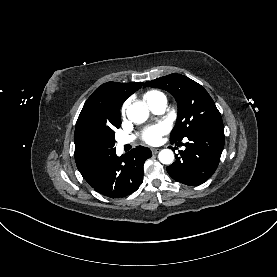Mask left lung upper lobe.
<instances>
[{
  "label": "left lung upper lobe",
  "mask_w": 277,
  "mask_h": 277,
  "mask_svg": "<svg viewBox=\"0 0 277 277\" xmlns=\"http://www.w3.org/2000/svg\"><path fill=\"white\" fill-rule=\"evenodd\" d=\"M170 92L178 104V117L171 132V142L189 137L201 128L223 123L221 114L208 92L197 82L181 74H170L147 81L144 87Z\"/></svg>",
  "instance_id": "obj_1"
}]
</instances>
